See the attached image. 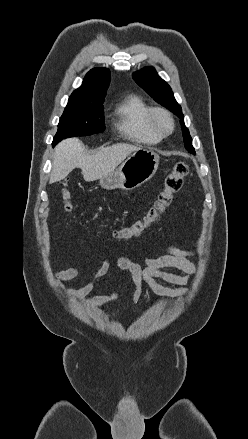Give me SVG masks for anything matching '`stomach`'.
I'll return each mask as SVG.
<instances>
[{"instance_id":"stomach-1","label":"stomach","mask_w":248,"mask_h":439,"mask_svg":"<svg viewBox=\"0 0 248 439\" xmlns=\"http://www.w3.org/2000/svg\"><path fill=\"white\" fill-rule=\"evenodd\" d=\"M159 159L157 153L147 148L134 151L116 170L102 177L100 185L107 190H133L154 176Z\"/></svg>"}]
</instances>
